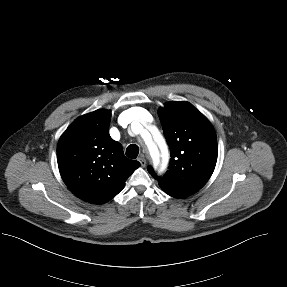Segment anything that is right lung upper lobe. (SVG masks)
Segmentation results:
<instances>
[{
	"mask_svg": "<svg viewBox=\"0 0 287 287\" xmlns=\"http://www.w3.org/2000/svg\"><path fill=\"white\" fill-rule=\"evenodd\" d=\"M111 111L99 109L78 117L62 134L57 162L67 187L80 199L103 204L115 197L140 166L124 156L109 135Z\"/></svg>",
	"mask_w": 287,
	"mask_h": 287,
	"instance_id": "obj_1",
	"label": "right lung upper lobe"
}]
</instances>
